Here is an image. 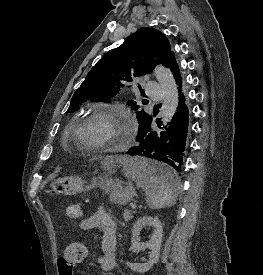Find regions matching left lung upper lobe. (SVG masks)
<instances>
[{"instance_id":"obj_1","label":"left lung upper lobe","mask_w":263,"mask_h":275,"mask_svg":"<svg viewBox=\"0 0 263 275\" xmlns=\"http://www.w3.org/2000/svg\"><path fill=\"white\" fill-rule=\"evenodd\" d=\"M174 53L167 37L159 30L141 28L130 35L124 43L109 51L89 71L80 88L74 93L68 112H74L87 100L107 101L132 82L133 78L149 74L157 64L169 67ZM133 110L136 102L128 101ZM141 127L150 116L137 111Z\"/></svg>"}]
</instances>
